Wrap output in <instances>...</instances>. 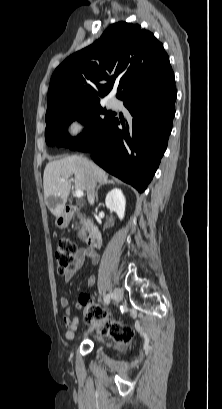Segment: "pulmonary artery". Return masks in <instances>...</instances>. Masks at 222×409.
I'll return each mask as SVG.
<instances>
[{
  "label": "pulmonary artery",
  "mask_w": 222,
  "mask_h": 409,
  "mask_svg": "<svg viewBox=\"0 0 222 409\" xmlns=\"http://www.w3.org/2000/svg\"><path fill=\"white\" fill-rule=\"evenodd\" d=\"M108 104L110 107H115L117 105V101L114 98L109 99Z\"/></svg>",
  "instance_id": "obj_1"
}]
</instances>
